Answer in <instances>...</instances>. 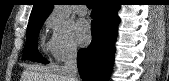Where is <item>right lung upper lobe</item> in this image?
I'll list each match as a JSON object with an SVG mask.
<instances>
[{
	"mask_svg": "<svg viewBox=\"0 0 169 81\" xmlns=\"http://www.w3.org/2000/svg\"><path fill=\"white\" fill-rule=\"evenodd\" d=\"M34 2L28 24L45 20L51 13L54 5V0H34Z\"/></svg>",
	"mask_w": 169,
	"mask_h": 81,
	"instance_id": "cb5924a9",
	"label": "right lung upper lobe"
}]
</instances>
